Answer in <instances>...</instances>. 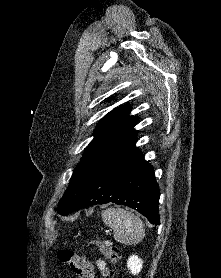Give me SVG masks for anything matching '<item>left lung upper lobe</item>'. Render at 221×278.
<instances>
[{"instance_id": "obj_1", "label": "left lung upper lobe", "mask_w": 221, "mask_h": 278, "mask_svg": "<svg viewBox=\"0 0 221 278\" xmlns=\"http://www.w3.org/2000/svg\"><path fill=\"white\" fill-rule=\"evenodd\" d=\"M126 105L109 112L100 120L80 162L73 171L68 188L59 202L58 213L67 215L99 171L117 154L136 141L134 126L138 117H128Z\"/></svg>"}]
</instances>
